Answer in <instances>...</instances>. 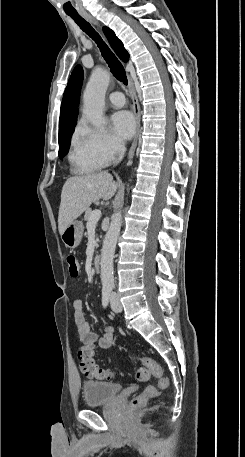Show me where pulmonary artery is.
Here are the masks:
<instances>
[{"instance_id": "e3ab8cb5", "label": "pulmonary artery", "mask_w": 245, "mask_h": 457, "mask_svg": "<svg viewBox=\"0 0 245 457\" xmlns=\"http://www.w3.org/2000/svg\"><path fill=\"white\" fill-rule=\"evenodd\" d=\"M107 100L115 107H122L125 103V98L121 92H114L108 95Z\"/></svg>"}]
</instances>
